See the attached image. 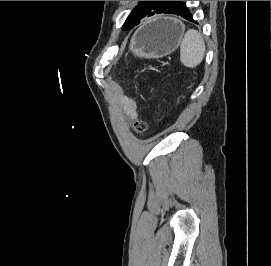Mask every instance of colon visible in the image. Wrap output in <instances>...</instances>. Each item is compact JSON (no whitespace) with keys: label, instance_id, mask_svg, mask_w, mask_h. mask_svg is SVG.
Here are the masks:
<instances>
[{"label":"colon","instance_id":"1","mask_svg":"<svg viewBox=\"0 0 271 266\" xmlns=\"http://www.w3.org/2000/svg\"><path fill=\"white\" fill-rule=\"evenodd\" d=\"M132 128L136 134H142L147 129V123L142 119H137L134 121Z\"/></svg>","mask_w":271,"mask_h":266}]
</instances>
